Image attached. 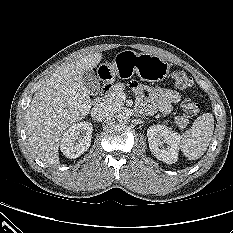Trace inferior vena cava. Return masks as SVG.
Returning <instances> with one entry per match:
<instances>
[{
  "label": "inferior vena cava",
  "mask_w": 233,
  "mask_h": 233,
  "mask_svg": "<svg viewBox=\"0 0 233 233\" xmlns=\"http://www.w3.org/2000/svg\"><path fill=\"white\" fill-rule=\"evenodd\" d=\"M112 115H113V109L111 108L110 105H108V103L105 102L97 104L91 110V116L97 122H102L110 118Z\"/></svg>",
  "instance_id": "inferior-vena-cava-1"
}]
</instances>
